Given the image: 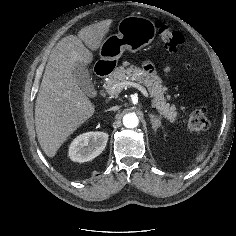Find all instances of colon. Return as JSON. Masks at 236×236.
Masks as SVG:
<instances>
[{
  "mask_svg": "<svg viewBox=\"0 0 236 236\" xmlns=\"http://www.w3.org/2000/svg\"><path fill=\"white\" fill-rule=\"evenodd\" d=\"M157 29L165 43V47L170 52H178L184 42L181 33L171 29L163 23L157 24ZM209 120L206 116V109L200 107L192 111L188 119V128L193 132H200L208 129Z\"/></svg>",
  "mask_w": 236,
  "mask_h": 236,
  "instance_id": "colon-1",
  "label": "colon"
}]
</instances>
